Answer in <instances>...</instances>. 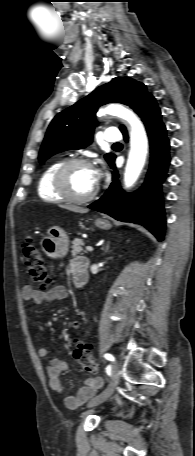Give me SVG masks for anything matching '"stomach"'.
Returning <instances> with one entry per match:
<instances>
[{
	"mask_svg": "<svg viewBox=\"0 0 195 456\" xmlns=\"http://www.w3.org/2000/svg\"><path fill=\"white\" fill-rule=\"evenodd\" d=\"M95 225L99 229L108 230L112 227L109 221L98 218ZM69 247V238L66 232L58 226L48 229L47 239L43 242L42 249L49 257H63L66 255Z\"/></svg>",
	"mask_w": 195,
	"mask_h": 456,
	"instance_id": "1",
	"label": "stomach"
}]
</instances>
